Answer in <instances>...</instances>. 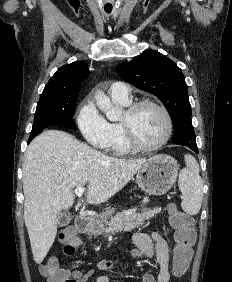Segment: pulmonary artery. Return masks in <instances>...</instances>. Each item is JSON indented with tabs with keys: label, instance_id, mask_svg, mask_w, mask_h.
Masks as SVG:
<instances>
[{
	"label": "pulmonary artery",
	"instance_id": "1",
	"mask_svg": "<svg viewBox=\"0 0 232 282\" xmlns=\"http://www.w3.org/2000/svg\"><path fill=\"white\" fill-rule=\"evenodd\" d=\"M109 92L113 99L129 101L130 88L123 82H114L111 85Z\"/></svg>",
	"mask_w": 232,
	"mask_h": 282
}]
</instances>
